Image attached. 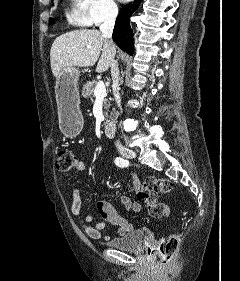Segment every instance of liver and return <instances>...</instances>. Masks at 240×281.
Listing matches in <instances>:
<instances>
[{
	"mask_svg": "<svg viewBox=\"0 0 240 281\" xmlns=\"http://www.w3.org/2000/svg\"><path fill=\"white\" fill-rule=\"evenodd\" d=\"M115 54L114 43L108 42L100 31H70L57 37L51 46V70L58 77L64 68L90 67L98 61L96 72L101 73L109 69Z\"/></svg>",
	"mask_w": 240,
	"mask_h": 281,
	"instance_id": "6515ba94",
	"label": "liver"
}]
</instances>
